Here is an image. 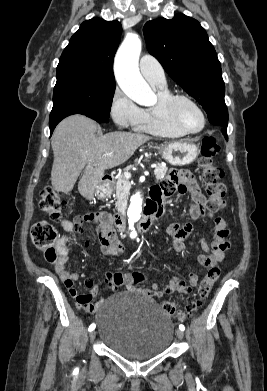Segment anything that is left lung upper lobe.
<instances>
[{"mask_svg":"<svg viewBox=\"0 0 267 391\" xmlns=\"http://www.w3.org/2000/svg\"><path fill=\"white\" fill-rule=\"evenodd\" d=\"M149 53L206 110L209 121L227 127L221 65L200 23L184 14L157 18L143 28Z\"/></svg>","mask_w":267,"mask_h":391,"instance_id":"1","label":"left lung upper lobe"}]
</instances>
